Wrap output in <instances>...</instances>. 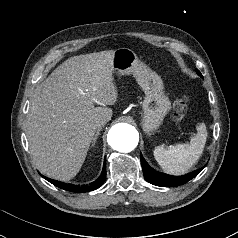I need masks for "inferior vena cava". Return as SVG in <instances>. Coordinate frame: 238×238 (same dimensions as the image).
I'll return each mask as SVG.
<instances>
[{"label":"inferior vena cava","mask_w":238,"mask_h":238,"mask_svg":"<svg viewBox=\"0 0 238 238\" xmlns=\"http://www.w3.org/2000/svg\"><path fill=\"white\" fill-rule=\"evenodd\" d=\"M107 123V120L102 119L100 121L97 122V127L101 128L102 126H104Z\"/></svg>","instance_id":"602c4592"}]
</instances>
